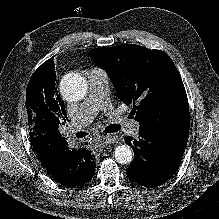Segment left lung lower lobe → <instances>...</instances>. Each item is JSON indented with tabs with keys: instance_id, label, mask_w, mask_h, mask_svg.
<instances>
[{
	"instance_id": "0a47b994",
	"label": "left lung lower lobe",
	"mask_w": 219,
	"mask_h": 219,
	"mask_svg": "<svg viewBox=\"0 0 219 219\" xmlns=\"http://www.w3.org/2000/svg\"><path fill=\"white\" fill-rule=\"evenodd\" d=\"M124 140L135 151L126 173L132 181L147 188L157 187L172 177L187 145V141H174L148 132H139L137 140L130 136Z\"/></svg>"
}]
</instances>
